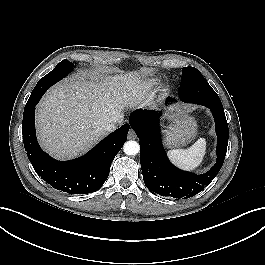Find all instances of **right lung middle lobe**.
<instances>
[{"instance_id":"1","label":"right lung middle lobe","mask_w":265,"mask_h":265,"mask_svg":"<svg viewBox=\"0 0 265 265\" xmlns=\"http://www.w3.org/2000/svg\"><path fill=\"white\" fill-rule=\"evenodd\" d=\"M73 70V64H71L67 59L61 61L57 66L41 78L35 88H40L41 86H47L48 88L68 75V73Z\"/></svg>"}]
</instances>
